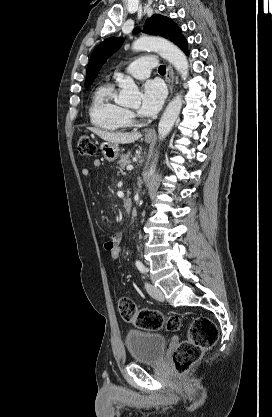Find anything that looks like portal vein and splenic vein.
Listing matches in <instances>:
<instances>
[{"label": "portal vein and splenic vein", "instance_id": "18ae733b", "mask_svg": "<svg viewBox=\"0 0 272 417\" xmlns=\"http://www.w3.org/2000/svg\"><path fill=\"white\" fill-rule=\"evenodd\" d=\"M126 169H127V170H132V169H133V166H132V165H128V166L126 167Z\"/></svg>", "mask_w": 272, "mask_h": 417}]
</instances>
